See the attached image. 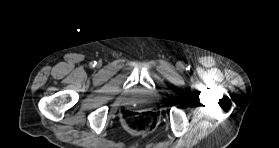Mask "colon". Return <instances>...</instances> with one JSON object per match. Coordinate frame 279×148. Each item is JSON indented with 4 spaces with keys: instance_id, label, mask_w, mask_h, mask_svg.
<instances>
[{
    "instance_id": "5ec220e1",
    "label": "colon",
    "mask_w": 279,
    "mask_h": 148,
    "mask_svg": "<svg viewBox=\"0 0 279 148\" xmlns=\"http://www.w3.org/2000/svg\"><path fill=\"white\" fill-rule=\"evenodd\" d=\"M123 123L134 133H145L156 127L158 119L151 111H126L123 115Z\"/></svg>"
}]
</instances>
